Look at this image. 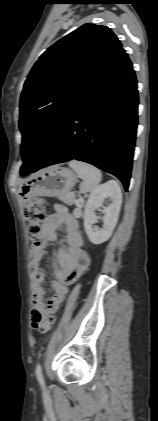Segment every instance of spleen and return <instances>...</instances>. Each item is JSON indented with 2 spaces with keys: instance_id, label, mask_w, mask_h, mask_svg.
<instances>
[{
  "instance_id": "3e777b00",
  "label": "spleen",
  "mask_w": 158,
  "mask_h": 421,
  "mask_svg": "<svg viewBox=\"0 0 158 421\" xmlns=\"http://www.w3.org/2000/svg\"><path fill=\"white\" fill-rule=\"evenodd\" d=\"M69 167H71L77 175L83 179L81 189L84 192H93L101 182L102 174L100 170L91 164L78 160H72L69 162Z\"/></svg>"
}]
</instances>
